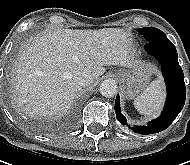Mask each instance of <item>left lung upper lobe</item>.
<instances>
[{"label":"left lung upper lobe","mask_w":190,"mask_h":165,"mask_svg":"<svg viewBox=\"0 0 190 165\" xmlns=\"http://www.w3.org/2000/svg\"><path fill=\"white\" fill-rule=\"evenodd\" d=\"M137 31L145 37L148 43L153 42L159 38L166 37V35L161 30L154 27L139 28Z\"/></svg>","instance_id":"1"}]
</instances>
